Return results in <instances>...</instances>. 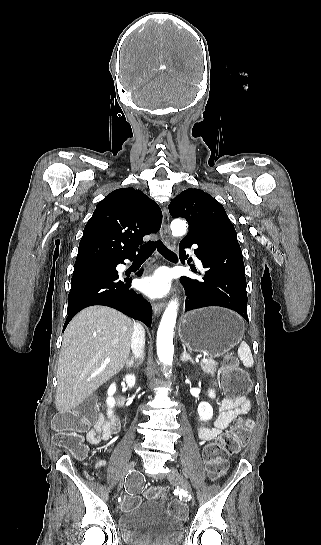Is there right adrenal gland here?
<instances>
[{"instance_id":"2a0ac1e0","label":"right adrenal gland","mask_w":321,"mask_h":545,"mask_svg":"<svg viewBox=\"0 0 321 545\" xmlns=\"http://www.w3.org/2000/svg\"><path fill=\"white\" fill-rule=\"evenodd\" d=\"M143 359H140L139 363H135L134 359H127V361H125V365L126 367H139V365H142Z\"/></svg>"}]
</instances>
